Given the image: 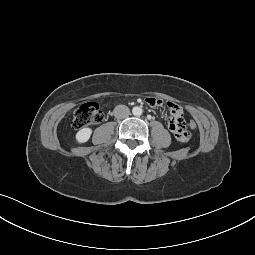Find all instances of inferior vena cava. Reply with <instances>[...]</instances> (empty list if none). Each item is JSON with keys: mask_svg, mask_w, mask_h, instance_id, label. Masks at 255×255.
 <instances>
[{"mask_svg": "<svg viewBox=\"0 0 255 255\" xmlns=\"http://www.w3.org/2000/svg\"><path fill=\"white\" fill-rule=\"evenodd\" d=\"M113 112L118 119H124L130 115V109L126 105H117Z\"/></svg>", "mask_w": 255, "mask_h": 255, "instance_id": "602c4592", "label": "inferior vena cava"}]
</instances>
